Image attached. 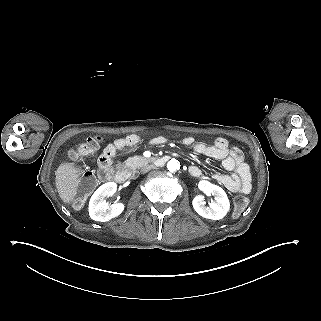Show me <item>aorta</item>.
<instances>
[{
  "mask_svg": "<svg viewBox=\"0 0 321 321\" xmlns=\"http://www.w3.org/2000/svg\"><path fill=\"white\" fill-rule=\"evenodd\" d=\"M179 168H180V163L176 159L170 160L167 164V169L170 172H175V171L179 170Z\"/></svg>",
  "mask_w": 321,
  "mask_h": 321,
  "instance_id": "1",
  "label": "aorta"
}]
</instances>
